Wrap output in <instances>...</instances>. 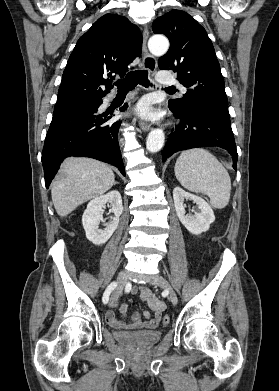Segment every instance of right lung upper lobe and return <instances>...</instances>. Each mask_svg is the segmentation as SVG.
Instances as JSON below:
<instances>
[{
  "label": "right lung upper lobe",
  "mask_w": 279,
  "mask_h": 391,
  "mask_svg": "<svg viewBox=\"0 0 279 391\" xmlns=\"http://www.w3.org/2000/svg\"><path fill=\"white\" fill-rule=\"evenodd\" d=\"M141 51L142 34L137 26L123 16H102L77 41L54 109L101 99L113 88L111 79L124 77Z\"/></svg>",
  "instance_id": "right-lung-upper-lobe-1"
}]
</instances>
